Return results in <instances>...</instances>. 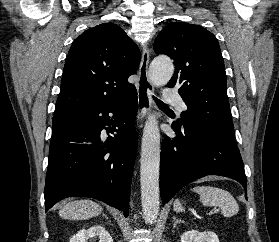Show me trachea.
<instances>
[{"label":"trachea","mask_w":279,"mask_h":242,"mask_svg":"<svg viewBox=\"0 0 279 242\" xmlns=\"http://www.w3.org/2000/svg\"><path fill=\"white\" fill-rule=\"evenodd\" d=\"M153 99L156 101L157 105L160 107H168L167 105H165L163 102H161L160 100H158L156 97H153Z\"/></svg>","instance_id":"obj_1"}]
</instances>
